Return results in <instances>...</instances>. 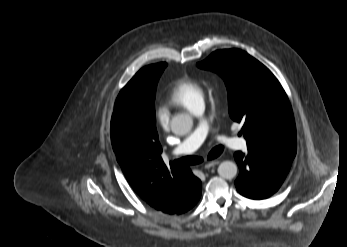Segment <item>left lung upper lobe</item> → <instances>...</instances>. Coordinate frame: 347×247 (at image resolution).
I'll return each mask as SVG.
<instances>
[{
	"mask_svg": "<svg viewBox=\"0 0 347 247\" xmlns=\"http://www.w3.org/2000/svg\"><path fill=\"white\" fill-rule=\"evenodd\" d=\"M197 66L220 74L228 91L229 114L249 152L294 157L296 129L288 97L272 72L238 49L218 50Z\"/></svg>",
	"mask_w": 347,
	"mask_h": 247,
	"instance_id": "5c2ea615",
	"label": "left lung upper lobe"
}]
</instances>
